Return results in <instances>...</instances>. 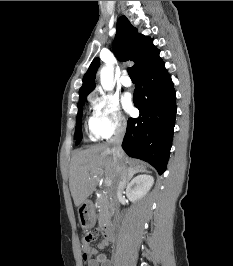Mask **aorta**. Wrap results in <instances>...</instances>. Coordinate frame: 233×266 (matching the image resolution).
Returning <instances> with one entry per match:
<instances>
[{"label":"aorta","mask_w":233,"mask_h":266,"mask_svg":"<svg viewBox=\"0 0 233 266\" xmlns=\"http://www.w3.org/2000/svg\"><path fill=\"white\" fill-rule=\"evenodd\" d=\"M100 82L104 90L112 91L115 87L114 69L112 65H105L100 70Z\"/></svg>","instance_id":"1"}]
</instances>
